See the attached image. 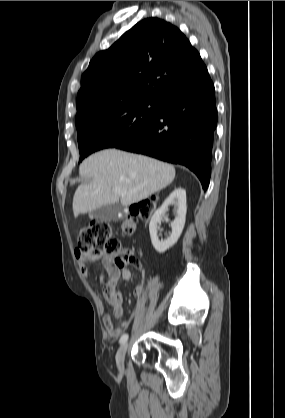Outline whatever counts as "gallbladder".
<instances>
[{
    "mask_svg": "<svg viewBox=\"0 0 285 418\" xmlns=\"http://www.w3.org/2000/svg\"><path fill=\"white\" fill-rule=\"evenodd\" d=\"M121 214V217L119 216ZM123 207L120 204H108L89 212L91 219H103L106 221H118L123 217Z\"/></svg>",
    "mask_w": 285,
    "mask_h": 418,
    "instance_id": "obj_1",
    "label": "gallbladder"
}]
</instances>
